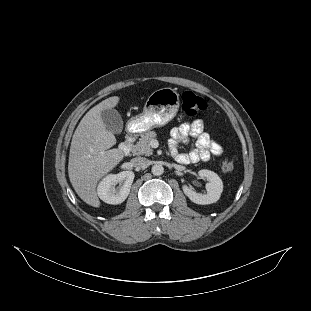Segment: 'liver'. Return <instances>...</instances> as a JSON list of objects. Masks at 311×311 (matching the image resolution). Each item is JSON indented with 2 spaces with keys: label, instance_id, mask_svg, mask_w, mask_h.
I'll return each mask as SVG.
<instances>
[{
  "label": "liver",
  "instance_id": "obj_1",
  "mask_svg": "<svg viewBox=\"0 0 311 311\" xmlns=\"http://www.w3.org/2000/svg\"><path fill=\"white\" fill-rule=\"evenodd\" d=\"M120 97H109L82 118L76 128L70 146L68 174L78 196L87 204L99 207L97 182L111 171L124 157L122 150L113 148L114 134L109 131L101 117V112L118 105Z\"/></svg>",
  "mask_w": 311,
  "mask_h": 311
}]
</instances>
